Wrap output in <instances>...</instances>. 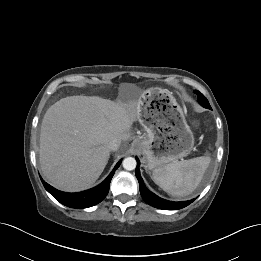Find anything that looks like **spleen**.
Listing matches in <instances>:
<instances>
[{
	"mask_svg": "<svg viewBox=\"0 0 261 261\" xmlns=\"http://www.w3.org/2000/svg\"><path fill=\"white\" fill-rule=\"evenodd\" d=\"M210 161L209 156L174 161L154 169L151 178L167 193L173 196H186L197 188Z\"/></svg>",
	"mask_w": 261,
	"mask_h": 261,
	"instance_id": "spleen-1",
	"label": "spleen"
}]
</instances>
